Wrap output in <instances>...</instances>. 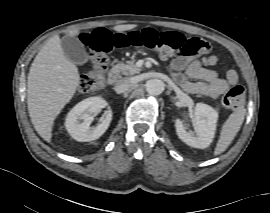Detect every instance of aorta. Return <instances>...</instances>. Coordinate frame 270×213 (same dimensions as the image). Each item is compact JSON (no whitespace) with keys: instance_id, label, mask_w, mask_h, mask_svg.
Instances as JSON below:
<instances>
[{"instance_id":"obj_1","label":"aorta","mask_w":270,"mask_h":213,"mask_svg":"<svg viewBox=\"0 0 270 213\" xmlns=\"http://www.w3.org/2000/svg\"><path fill=\"white\" fill-rule=\"evenodd\" d=\"M164 82L160 79H150L146 83V91L150 95H160L164 91Z\"/></svg>"}]
</instances>
